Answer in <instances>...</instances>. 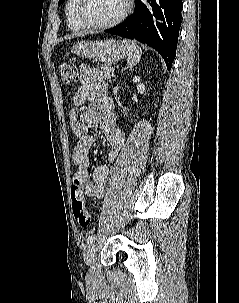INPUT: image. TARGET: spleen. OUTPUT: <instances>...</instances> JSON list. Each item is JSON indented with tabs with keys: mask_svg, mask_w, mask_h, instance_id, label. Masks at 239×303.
<instances>
[{
	"mask_svg": "<svg viewBox=\"0 0 239 303\" xmlns=\"http://www.w3.org/2000/svg\"><path fill=\"white\" fill-rule=\"evenodd\" d=\"M123 43L125 44L128 51L127 63L130 67H132L139 63L142 55V50L134 41L123 40Z\"/></svg>",
	"mask_w": 239,
	"mask_h": 303,
	"instance_id": "3e777b00",
	"label": "spleen"
}]
</instances>
